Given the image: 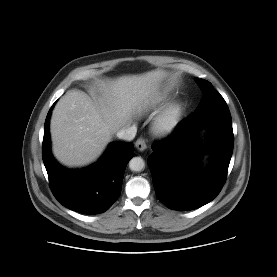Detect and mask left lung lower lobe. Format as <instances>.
I'll return each mask as SVG.
<instances>
[{
  "instance_id": "obj_1",
  "label": "left lung lower lobe",
  "mask_w": 277,
  "mask_h": 277,
  "mask_svg": "<svg viewBox=\"0 0 277 277\" xmlns=\"http://www.w3.org/2000/svg\"><path fill=\"white\" fill-rule=\"evenodd\" d=\"M208 124L211 163L200 175L198 128ZM232 119L227 104H215L190 114L174 132L152 146L148 158L158 199L173 210H193L211 202L221 191L233 152Z\"/></svg>"
}]
</instances>
